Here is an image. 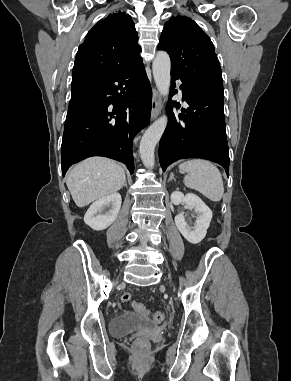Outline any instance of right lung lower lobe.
<instances>
[{
    "label": "right lung lower lobe",
    "mask_w": 291,
    "mask_h": 381,
    "mask_svg": "<svg viewBox=\"0 0 291 381\" xmlns=\"http://www.w3.org/2000/svg\"><path fill=\"white\" fill-rule=\"evenodd\" d=\"M152 90L142 59L114 72L73 70L61 145L62 175L90 156L134 172L132 142L150 121Z\"/></svg>",
    "instance_id": "right-lung-lower-lobe-1"
}]
</instances>
